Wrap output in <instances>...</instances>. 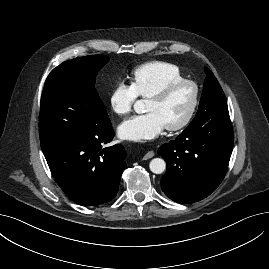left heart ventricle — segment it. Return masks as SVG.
<instances>
[{
  "label": "left heart ventricle",
  "instance_id": "obj_1",
  "mask_svg": "<svg viewBox=\"0 0 269 269\" xmlns=\"http://www.w3.org/2000/svg\"><path fill=\"white\" fill-rule=\"evenodd\" d=\"M193 92L190 85L179 86L164 100L148 99L145 110L157 113L166 126L176 124L186 116L192 104Z\"/></svg>",
  "mask_w": 269,
  "mask_h": 269
}]
</instances>
